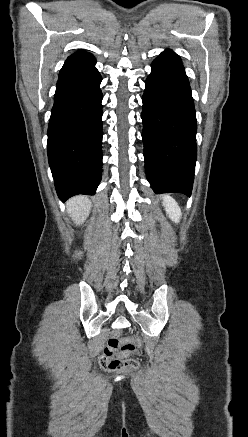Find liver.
I'll return each instance as SVG.
<instances>
[{"label":"liver","instance_id":"6515ba94","mask_svg":"<svg viewBox=\"0 0 248 437\" xmlns=\"http://www.w3.org/2000/svg\"><path fill=\"white\" fill-rule=\"evenodd\" d=\"M91 202L86 196H76L67 202V212L76 225H81L87 219Z\"/></svg>","mask_w":248,"mask_h":437}]
</instances>
